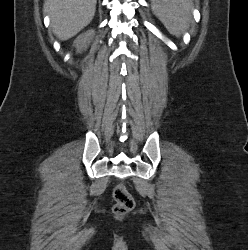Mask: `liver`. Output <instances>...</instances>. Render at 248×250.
Masks as SVG:
<instances>
[{"mask_svg": "<svg viewBox=\"0 0 248 250\" xmlns=\"http://www.w3.org/2000/svg\"><path fill=\"white\" fill-rule=\"evenodd\" d=\"M45 6L54 34L64 41L75 36L92 21L96 0H46Z\"/></svg>", "mask_w": 248, "mask_h": 250, "instance_id": "liver-1", "label": "liver"}]
</instances>
